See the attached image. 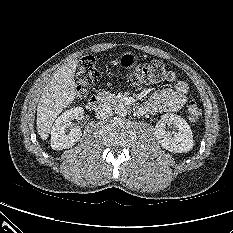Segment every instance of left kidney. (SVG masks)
<instances>
[{
    "mask_svg": "<svg viewBox=\"0 0 233 233\" xmlns=\"http://www.w3.org/2000/svg\"><path fill=\"white\" fill-rule=\"evenodd\" d=\"M166 124L173 125L177 132L166 131ZM155 135L161 146L175 153H185L193 147V135L188 123L177 114H164L155 126Z\"/></svg>",
    "mask_w": 233,
    "mask_h": 233,
    "instance_id": "5707ae66",
    "label": "left kidney"
}]
</instances>
